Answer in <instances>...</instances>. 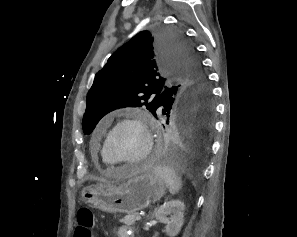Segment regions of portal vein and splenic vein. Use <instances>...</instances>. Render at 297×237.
I'll list each match as a JSON object with an SVG mask.
<instances>
[{
  "label": "portal vein and splenic vein",
  "mask_w": 297,
  "mask_h": 237,
  "mask_svg": "<svg viewBox=\"0 0 297 237\" xmlns=\"http://www.w3.org/2000/svg\"><path fill=\"white\" fill-rule=\"evenodd\" d=\"M140 219H141V216H137V217H136V220H140Z\"/></svg>",
  "instance_id": "portal-vein-and-splenic-vein-1"
}]
</instances>
